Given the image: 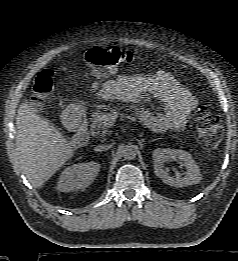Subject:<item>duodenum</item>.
Wrapping results in <instances>:
<instances>
[{
  "instance_id": "1",
  "label": "duodenum",
  "mask_w": 238,
  "mask_h": 261,
  "mask_svg": "<svg viewBox=\"0 0 238 261\" xmlns=\"http://www.w3.org/2000/svg\"><path fill=\"white\" fill-rule=\"evenodd\" d=\"M66 124L75 131L72 142L76 146H84L89 140L88 120L84 113L71 112L66 116Z\"/></svg>"
}]
</instances>
